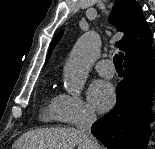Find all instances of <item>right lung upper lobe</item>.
I'll return each instance as SVG.
<instances>
[{"mask_svg": "<svg viewBox=\"0 0 155 149\" xmlns=\"http://www.w3.org/2000/svg\"><path fill=\"white\" fill-rule=\"evenodd\" d=\"M110 22L116 25L119 31L124 32L123 39L117 42L118 47L125 51L124 64L142 61L154 55L155 51L151 46L153 34L149 31L142 8L137 2L116 0ZM62 33L60 32L53 39L47 59L50 57L52 48L61 38Z\"/></svg>", "mask_w": 155, "mask_h": 149, "instance_id": "cb5924a9", "label": "right lung upper lobe"}]
</instances>
